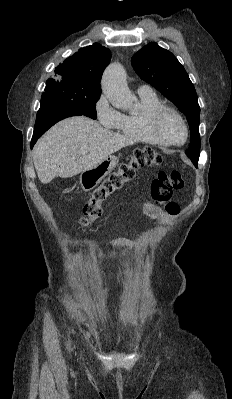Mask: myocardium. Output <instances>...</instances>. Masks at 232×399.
Listing matches in <instances>:
<instances>
[{
	"instance_id": "obj_1",
	"label": "myocardium",
	"mask_w": 232,
	"mask_h": 399,
	"mask_svg": "<svg viewBox=\"0 0 232 399\" xmlns=\"http://www.w3.org/2000/svg\"><path fill=\"white\" fill-rule=\"evenodd\" d=\"M167 113H173L174 115H176L178 117V119L182 122V124L184 125L185 130H186V138L182 143H176V142L172 141L162 131L161 120H162L163 116ZM150 127H151L153 134L156 137H158L160 140L167 143L168 145L182 146L189 139L190 130H189L188 123H187L186 119L184 118V116L182 115V113L173 107L163 106V107L159 108L158 110H156L150 118Z\"/></svg>"
}]
</instances>
